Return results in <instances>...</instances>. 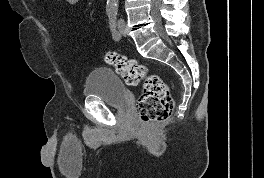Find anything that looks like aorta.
<instances>
[{
  "mask_svg": "<svg viewBox=\"0 0 264 178\" xmlns=\"http://www.w3.org/2000/svg\"><path fill=\"white\" fill-rule=\"evenodd\" d=\"M106 10L107 11H117L118 10V0H107Z\"/></svg>",
  "mask_w": 264,
  "mask_h": 178,
  "instance_id": "762f6f07",
  "label": "aorta"
}]
</instances>
